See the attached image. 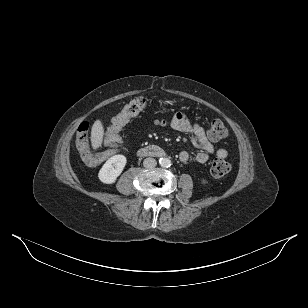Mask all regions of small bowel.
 Returning <instances> with one entry per match:
<instances>
[{"label":"small bowel","mask_w":308,"mask_h":308,"mask_svg":"<svg viewBox=\"0 0 308 308\" xmlns=\"http://www.w3.org/2000/svg\"><path fill=\"white\" fill-rule=\"evenodd\" d=\"M155 124L159 126H170L176 131L188 134L192 143L200 149V152L195 156V160L200 164H204L208 161L209 154L214 153L218 158H225L228 154L224 147L215 148L212 142L208 139L205 130L200 125L192 123L182 113H177L170 120L157 119ZM179 159L182 163H188L190 155L187 151H181L179 153Z\"/></svg>","instance_id":"small-bowel-1"}]
</instances>
